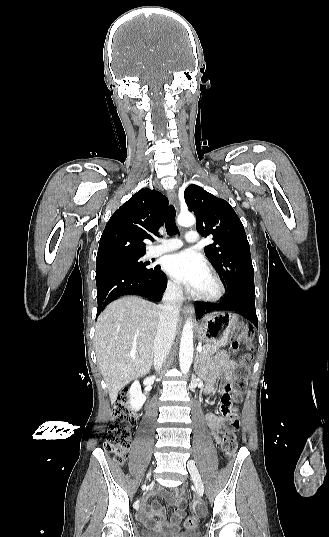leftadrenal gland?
I'll use <instances>...</instances> for the list:
<instances>
[{"label":"left adrenal gland","instance_id":"left-adrenal-gland-1","mask_svg":"<svg viewBox=\"0 0 329 537\" xmlns=\"http://www.w3.org/2000/svg\"><path fill=\"white\" fill-rule=\"evenodd\" d=\"M198 361H199V360H198V355H197V356H196V363H195V370H196V368H197Z\"/></svg>","mask_w":329,"mask_h":537}]
</instances>
